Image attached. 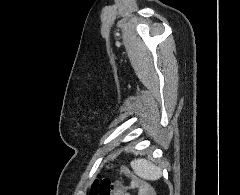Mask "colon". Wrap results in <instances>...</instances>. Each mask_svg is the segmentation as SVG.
Returning a JSON list of instances; mask_svg holds the SVG:
<instances>
[{"label": "colon", "mask_w": 240, "mask_h": 195, "mask_svg": "<svg viewBox=\"0 0 240 195\" xmlns=\"http://www.w3.org/2000/svg\"><path fill=\"white\" fill-rule=\"evenodd\" d=\"M133 187H141L144 195H153V190L148 189L145 180H133ZM92 195H129L120 183H113L108 178L96 179L92 187Z\"/></svg>", "instance_id": "5ec220e1"}]
</instances>
